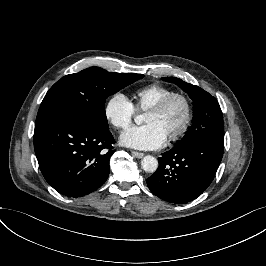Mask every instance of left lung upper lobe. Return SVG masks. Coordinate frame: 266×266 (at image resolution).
Listing matches in <instances>:
<instances>
[{
  "mask_svg": "<svg viewBox=\"0 0 266 266\" xmlns=\"http://www.w3.org/2000/svg\"><path fill=\"white\" fill-rule=\"evenodd\" d=\"M173 82L188 93L193 100V122L185 136L175 145L184 147L200 139L212 138L224 141V123L218 101L202 88L186 83L181 79L162 78Z\"/></svg>",
  "mask_w": 266,
  "mask_h": 266,
  "instance_id": "left-lung-upper-lobe-1",
  "label": "left lung upper lobe"
}]
</instances>
